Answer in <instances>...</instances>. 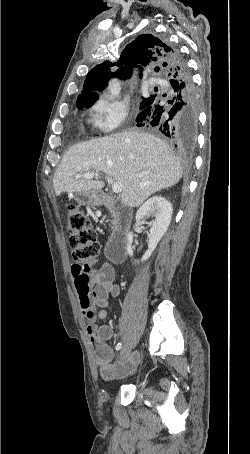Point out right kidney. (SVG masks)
<instances>
[{"mask_svg":"<svg viewBox=\"0 0 250 454\" xmlns=\"http://www.w3.org/2000/svg\"><path fill=\"white\" fill-rule=\"evenodd\" d=\"M173 213V208L171 203L161 196H153L148 199L137 211L136 221L145 222V219L148 216L155 217V219L149 223L150 225V234L148 240V250L142 256L141 261H146L149 259L159 241L166 233L169 224L171 222V217ZM127 254L133 256L132 242H133V233L129 232L127 235Z\"/></svg>","mask_w":250,"mask_h":454,"instance_id":"1","label":"right kidney"}]
</instances>
